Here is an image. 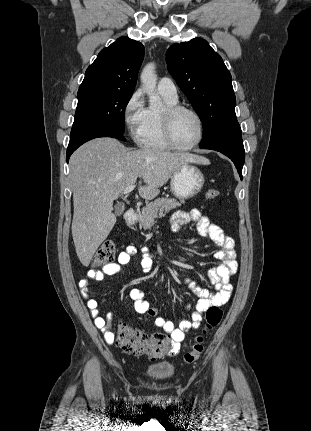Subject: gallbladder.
Masks as SVG:
<instances>
[{"label": "gallbladder", "instance_id": "1", "mask_svg": "<svg viewBox=\"0 0 311 431\" xmlns=\"http://www.w3.org/2000/svg\"><path fill=\"white\" fill-rule=\"evenodd\" d=\"M115 208V214L116 216H121V214H123L125 208L124 206H122V204H116V206H114Z\"/></svg>", "mask_w": 311, "mask_h": 431}]
</instances>
